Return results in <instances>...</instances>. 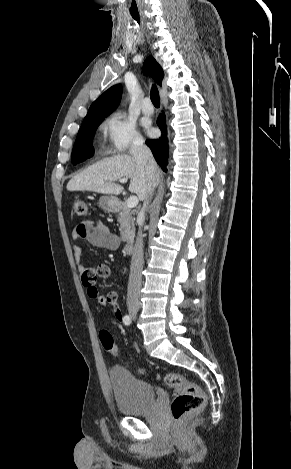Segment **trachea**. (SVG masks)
Masks as SVG:
<instances>
[{
    "label": "trachea",
    "instance_id": "3493384b",
    "mask_svg": "<svg viewBox=\"0 0 291 469\" xmlns=\"http://www.w3.org/2000/svg\"><path fill=\"white\" fill-rule=\"evenodd\" d=\"M150 98L155 107H160V97H159V92L155 86H152L151 92H150Z\"/></svg>",
    "mask_w": 291,
    "mask_h": 469
}]
</instances>
